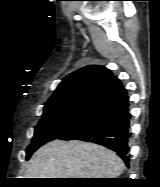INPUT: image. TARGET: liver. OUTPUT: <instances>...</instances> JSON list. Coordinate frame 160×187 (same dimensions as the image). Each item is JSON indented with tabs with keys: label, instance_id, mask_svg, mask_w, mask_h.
<instances>
[{
	"label": "liver",
	"instance_id": "liver-1",
	"mask_svg": "<svg viewBox=\"0 0 160 187\" xmlns=\"http://www.w3.org/2000/svg\"><path fill=\"white\" fill-rule=\"evenodd\" d=\"M124 168L117 154L103 146L77 140H54L28 162L26 178H116Z\"/></svg>",
	"mask_w": 160,
	"mask_h": 187
}]
</instances>
